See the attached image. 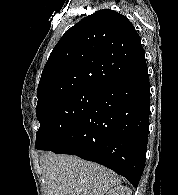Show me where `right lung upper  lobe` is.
I'll list each match as a JSON object with an SVG mask.
<instances>
[{
    "label": "right lung upper lobe",
    "mask_w": 178,
    "mask_h": 195,
    "mask_svg": "<svg viewBox=\"0 0 178 195\" xmlns=\"http://www.w3.org/2000/svg\"><path fill=\"white\" fill-rule=\"evenodd\" d=\"M144 66L141 40L130 21L114 10H99L68 29L52 50L37 105L75 90L99 91Z\"/></svg>",
    "instance_id": "right-lung-upper-lobe-1"
}]
</instances>
